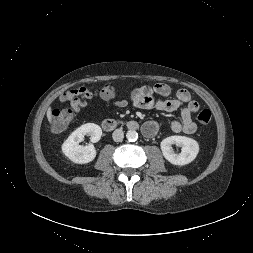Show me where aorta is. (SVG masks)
Masks as SVG:
<instances>
[{"instance_id": "obj_1", "label": "aorta", "mask_w": 253, "mask_h": 253, "mask_svg": "<svg viewBox=\"0 0 253 253\" xmlns=\"http://www.w3.org/2000/svg\"><path fill=\"white\" fill-rule=\"evenodd\" d=\"M126 138L130 142H135L138 139V133L135 130H129L126 133Z\"/></svg>"}]
</instances>
